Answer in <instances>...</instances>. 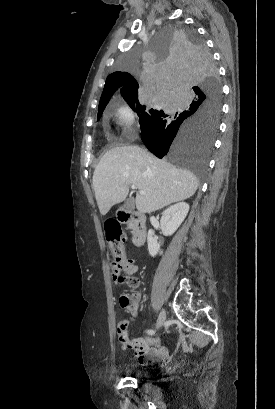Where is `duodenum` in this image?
<instances>
[{
	"label": "duodenum",
	"mask_w": 275,
	"mask_h": 409,
	"mask_svg": "<svg viewBox=\"0 0 275 409\" xmlns=\"http://www.w3.org/2000/svg\"><path fill=\"white\" fill-rule=\"evenodd\" d=\"M118 219L125 224H129L132 227V240L136 246L144 244L146 239V218L145 216L136 211H121L118 214Z\"/></svg>",
	"instance_id": "obj_1"
}]
</instances>
